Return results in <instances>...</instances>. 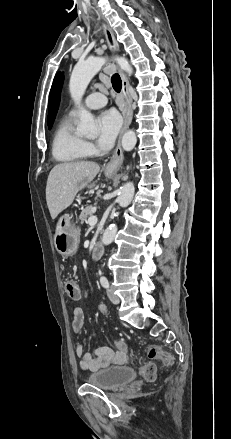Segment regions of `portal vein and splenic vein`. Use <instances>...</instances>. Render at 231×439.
Returning a JSON list of instances; mask_svg holds the SVG:
<instances>
[{"mask_svg":"<svg viewBox=\"0 0 231 439\" xmlns=\"http://www.w3.org/2000/svg\"><path fill=\"white\" fill-rule=\"evenodd\" d=\"M98 218L96 216H91L89 217L87 224H89L90 226H93L97 223Z\"/></svg>","mask_w":231,"mask_h":439,"instance_id":"portal-vein-and-splenic-vein-1","label":"portal vein and splenic vein"}]
</instances>
